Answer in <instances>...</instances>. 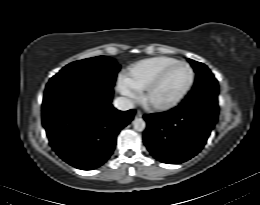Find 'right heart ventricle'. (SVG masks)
Returning a JSON list of instances; mask_svg holds the SVG:
<instances>
[{"mask_svg":"<svg viewBox=\"0 0 260 205\" xmlns=\"http://www.w3.org/2000/svg\"><path fill=\"white\" fill-rule=\"evenodd\" d=\"M178 61L170 56H156L144 59L132 66L124 75V81L133 89L141 91L167 65Z\"/></svg>","mask_w":260,"mask_h":205,"instance_id":"e07e8e85","label":"right heart ventricle"}]
</instances>
